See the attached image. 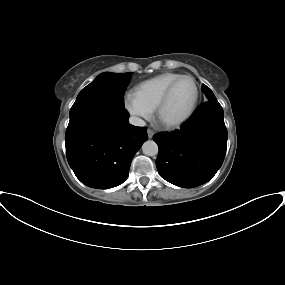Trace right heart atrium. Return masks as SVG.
Instances as JSON below:
<instances>
[{"mask_svg": "<svg viewBox=\"0 0 285 285\" xmlns=\"http://www.w3.org/2000/svg\"><path fill=\"white\" fill-rule=\"evenodd\" d=\"M125 110L136 119H149L152 111L141 105L134 95L127 94L124 98Z\"/></svg>", "mask_w": 285, "mask_h": 285, "instance_id": "d8ad5b80", "label": "right heart atrium"}]
</instances>
